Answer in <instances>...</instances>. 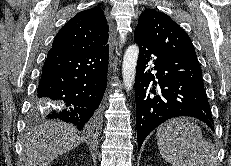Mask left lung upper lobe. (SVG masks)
I'll return each instance as SVG.
<instances>
[{
	"mask_svg": "<svg viewBox=\"0 0 231 166\" xmlns=\"http://www.w3.org/2000/svg\"><path fill=\"white\" fill-rule=\"evenodd\" d=\"M134 35L156 48L184 57L197 58L187 33L168 15L147 9L141 13Z\"/></svg>",
	"mask_w": 231,
	"mask_h": 166,
	"instance_id": "5c2ea615",
	"label": "left lung upper lobe"
}]
</instances>
